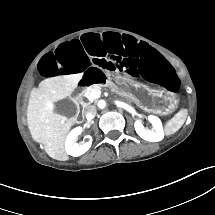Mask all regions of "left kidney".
I'll return each instance as SVG.
<instances>
[{"label":"left kidney","mask_w":215,"mask_h":215,"mask_svg":"<svg viewBox=\"0 0 215 215\" xmlns=\"http://www.w3.org/2000/svg\"><path fill=\"white\" fill-rule=\"evenodd\" d=\"M149 122L153 125L155 131L145 129L140 120L135 121L134 127L136 133L144 140L149 142H159L164 138V132L161 120L154 115L148 116Z\"/></svg>","instance_id":"obj_1"}]
</instances>
